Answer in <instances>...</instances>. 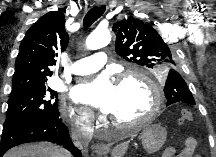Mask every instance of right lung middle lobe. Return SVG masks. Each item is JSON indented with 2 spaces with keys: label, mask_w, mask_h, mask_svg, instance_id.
Instances as JSON below:
<instances>
[{
  "label": "right lung middle lobe",
  "mask_w": 216,
  "mask_h": 157,
  "mask_svg": "<svg viewBox=\"0 0 216 157\" xmlns=\"http://www.w3.org/2000/svg\"><path fill=\"white\" fill-rule=\"evenodd\" d=\"M56 91L46 87L23 89L12 93L8 101L3 131L39 119L59 117Z\"/></svg>",
  "instance_id": "obj_1"
}]
</instances>
